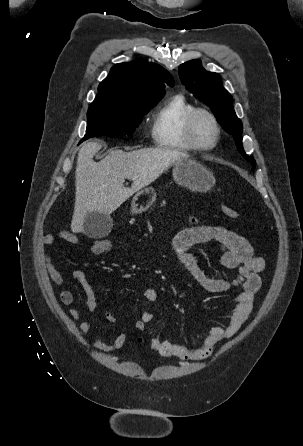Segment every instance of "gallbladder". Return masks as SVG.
<instances>
[{"instance_id": "bac80fb5", "label": "gallbladder", "mask_w": 303, "mask_h": 446, "mask_svg": "<svg viewBox=\"0 0 303 446\" xmlns=\"http://www.w3.org/2000/svg\"><path fill=\"white\" fill-rule=\"evenodd\" d=\"M111 228V218L103 213L91 212L84 219L83 232L91 238L104 237L110 233Z\"/></svg>"}]
</instances>
